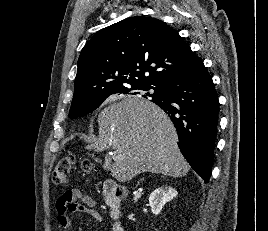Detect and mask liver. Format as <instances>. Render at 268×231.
I'll use <instances>...</instances> for the list:
<instances>
[{"instance_id":"liver-1","label":"liver","mask_w":268,"mask_h":231,"mask_svg":"<svg viewBox=\"0 0 268 231\" xmlns=\"http://www.w3.org/2000/svg\"><path fill=\"white\" fill-rule=\"evenodd\" d=\"M98 124V139L87 149L114 150L112 156H105L103 168L117 181H130L146 171L174 178L188 173L189 164L178 148L175 127L156 104L127 97L105 107Z\"/></svg>"}]
</instances>
